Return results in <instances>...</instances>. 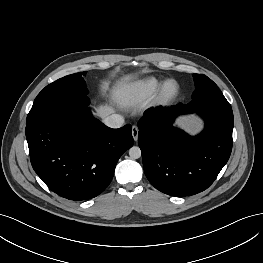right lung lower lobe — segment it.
<instances>
[{
  "instance_id": "obj_1",
  "label": "right lung lower lobe",
  "mask_w": 263,
  "mask_h": 263,
  "mask_svg": "<svg viewBox=\"0 0 263 263\" xmlns=\"http://www.w3.org/2000/svg\"><path fill=\"white\" fill-rule=\"evenodd\" d=\"M88 105L84 96L78 109L58 107L26 125L33 169L53 192L70 200L102 193L117 161L133 145L131 125L108 128Z\"/></svg>"
}]
</instances>
